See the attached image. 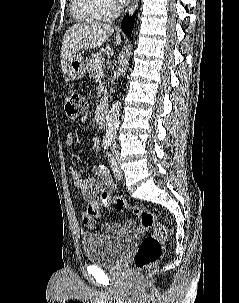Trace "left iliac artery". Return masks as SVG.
<instances>
[{
	"instance_id": "1",
	"label": "left iliac artery",
	"mask_w": 239,
	"mask_h": 303,
	"mask_svg": "<svg viewBox=\"0 0 239 303\" xmlns=\"http://www.w3.org/2000/svg\"><path fill=\"white\" fill-rule=\"evenodd\" d=\"M109 163L111 164L112 167H114L116 165V160L114 159V157L112 156V154H109Z\"/></svg>"
}]
</instances>
